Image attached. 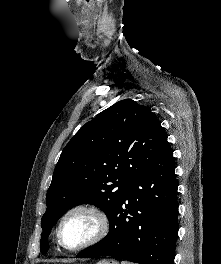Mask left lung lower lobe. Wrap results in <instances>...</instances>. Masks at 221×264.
Masks as SVG:
<instances>
[{"instance_id":"1","label":"left lung lower lobe","mask_w":221,"mask_h":264,"mask_svg":"<svg viewBox=\"0 0 221 264\" xmlns=\"http://www.w3.org/2000/svg\"><path fill=\"white\" fill-rule=\"evenodd\" d=\"M174 172L167 141L155 161L128 185L108 217L109 233L77 257L104 255L140 264H174L178 232Z\"/></svg>"}]
</instances>
